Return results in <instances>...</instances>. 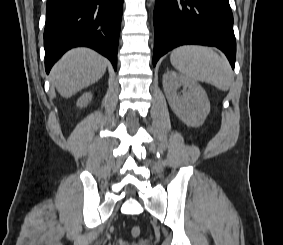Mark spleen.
Wrapping results in <instances>:
<instances>
[{"mask_svg": "<svg viewBox=\"0 0 283 245\" xmlns=\"http://www.w3.org/2000/svg\"><path fill=\"white\" fill-rule=\"evenodd\" d=\"M170 61L188 79L210 83L222 91L232 83L229 63L209 47L180 46L171 52Z\"/></svg>", "mask_w": 283, "mask_h": 245, "instance_id": "spleen-1", "label": "spleen"}]
</instances>
